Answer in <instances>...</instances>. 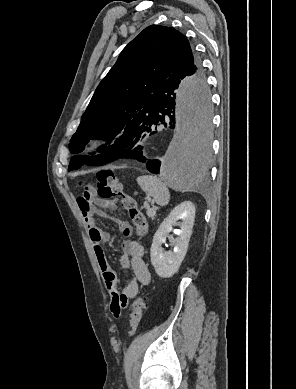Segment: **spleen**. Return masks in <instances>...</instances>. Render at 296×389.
<instances>
[{"instance_id":"obj_1","label":"spleen","mask_w":296,"mask_h":389,"mask_svg":"<svg viewBox=\"0 0 296 389\" xmlns=\"http://www.w3.org/2000/svg\"><path fill=\"white\" fill-rule=\"evenodd\" d=\"M137 183L144 192L154 198L158 205L165 206L169 203V190L159 178L144 175L137 178Z\"/></svg>"}]
</instances>
